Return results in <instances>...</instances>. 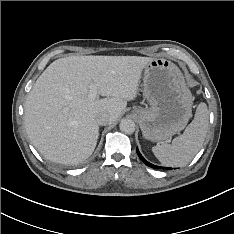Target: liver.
Returning <instances> with one entry per match:
<instances>
[{"mask_svg":"<svg viewBox=\"0 0 234 234\" xmlns=\"http://www.w3.org/2000/svg\"><path fill=\"white\" fill-rule=\"evenodd\" d=\"M152 58L140 56H69L52 62L25 101L24 123L33 146L46 159L77 164L94 151L100 113L118 119L135 99L139 79ZM96 85L103 99H90Z\"/></svg>","mask_w":234,"mask_h":234,"instance_id":"1","label":"liver"}]
</instances>
